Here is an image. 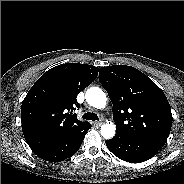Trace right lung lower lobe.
<instances>
[{
	"mask_svg": "<svg viewBox=\"0 0 184 184\" xmlns=\"http://www.w3.org/2000/svg\"><path fill=\"white\" fill-rule=\"evenodd\" d=\"M87 131V130H86ZM86 131L68 140L58 141L32 151L41 159L50 162H60L73 156L80 148Z\"/></svg>",
	"mask_w": 184,
	"mask_h": 184,
	"instance_id": "98d812e1",
	"label": "right lung lower lobe"
}]
</instances>
